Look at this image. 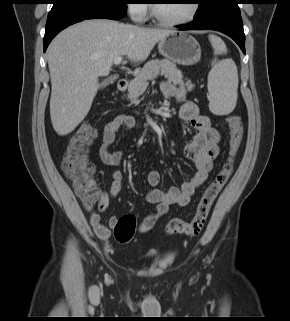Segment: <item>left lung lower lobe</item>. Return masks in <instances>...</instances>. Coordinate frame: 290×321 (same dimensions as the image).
I'll return each instance as SVG.
<instances>
[{
	"label": "left lung lower lobe",
	"mask_w": 290,
	"mask_h": 321,
	"mask_svg": "<svg viewBox=\"0 0 290 321\" xmlns=\"http://www.w3.org/2000/svg\"><path fill=\"white\" fill-rule=\"evenodd\" d=\"M240 0H223L219 5L187 24L182 30H216L231 37L245 53V35L238 4Z\"/></svg>",
	"instance_id": "1"
}]
</instances>
